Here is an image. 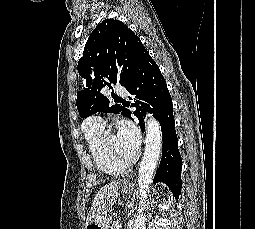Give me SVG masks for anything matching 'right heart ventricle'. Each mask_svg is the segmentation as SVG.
I'll list each match as a JSON object with an SVG mask.
<instances>
[{
  "instance_id": "1",
  "label": "right heart ventricle",
  "mask_w": 255,
  "mask_h": 229,
  "mask_svg": "<svg viewBox=\"0 0 255 229\" xmlns=\"http://www.w3.org/2000/svg\"><path fill=\"white\" fill-rule=\"evenodd\" d=\"M83 133L87 143L90 157L98 170L107 176H118L124 169L115 165L103 152L101 147V139L103 128L88 127L85 120L83 123Z\"/></svg>"
}]
</instances>
